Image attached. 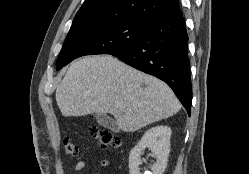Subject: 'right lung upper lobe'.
Returning <instances> with one entry per match:
<instances>
[{
	"instance_id": "obj_1",
	"label": "right lung upper lobe",
	"mask_w": 249,
	"mask_h": 174,
	"mask_svg": "<svg viewBox=\"0 0 249 174\" xmlns=\"http://www.w3.org/2000/svg\"><path fill=\"white\" fill-rule=\"evenodd\" d=\"M178 12V0H85L69 32L127 19L146 22Z\"/></svg>"
}]
</instances>
